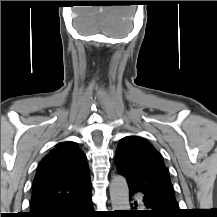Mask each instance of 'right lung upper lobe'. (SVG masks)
I'll list each match as a JSON object with an SVG mask.
<instances>
[{
  "instance_id": "cb5924a9",
  "label": "right lung upper lobe",
  "mask_w": 217,
  "mask_h": 217,
  "mask_svg": "<svg viewBox=\"0 0 217 217\" xmlns=\"http://www.w3.org/2000/svg\"><path fill=\"white\" fill-rule=\"evenodd\" d=\"M90 193L91 180L85 155L75 142H62L43 158L37 168L31 210L27 214L36 216Z\"/></svg>"
}]
</instances>
